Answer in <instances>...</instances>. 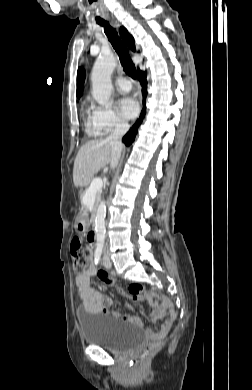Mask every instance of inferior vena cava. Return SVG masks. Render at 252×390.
<instances>
[{
  "mask_svg": "<svg viewBox=\"0 0 252 390\" xmlns=\"http://www.w3.org/2000/svg\"><path fill=\"white\" fill-rule=\"evenodd\" d=\"M129 130V125L126 123H122L116 126L113 133L108 137L110 140L111 148H112V159L110 162L111 168H115L118 164V161L121 156L122 151V137Z\"/></svg>",
  "mask_w": 252,
  "mask_h": 390,
  "instance_id": "obj_1",
  "label": "inferior vena cava"
}]
</instances>
